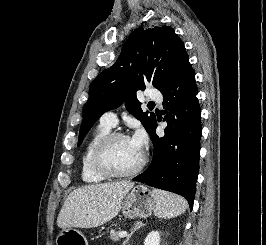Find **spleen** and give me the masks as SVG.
Instances as JSON below:
<instances>
[{
	"mask_svg": "<svg viewBox=\"0 0 266 245\" xmlns=\"http://www.w3.org/2000/svg\"><path fill=\"white\" fill-rule=\"evenodd\" d=\"M152 195L156 205H154V215L159 219H173L185 213L188 203L178 195L166 193V191H159L153 189Z\"/></svg>",
	"mask_w": 266,
	"mask_h": 245,
	"instance_id": "3e777b00",
	"label": "spleen"
}]
</instances>
